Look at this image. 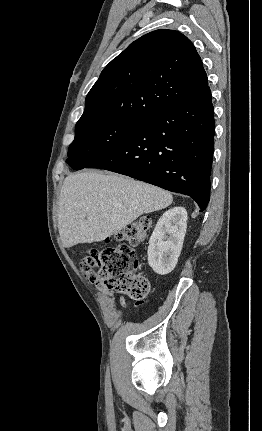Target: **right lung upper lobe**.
Wrapping results in <instances>:
<instances>
[{
	"label": "right lung upper lobe",
	"mask_w": 262,
	"mask_h": 431,
	"mask_svg": "<svg viewBox=\"0 0 262 431\" xmlns=\"http://www.w3.org/2000/svg\"><path fill=\"white\" fill-rule=\"evenodd\" d=\"M207 87V75L192 42L177 31L156 30L131 43L104 68L77 124L143 120Z\"/></svg>",
	"instance_id": "1"
}]
</instances>
